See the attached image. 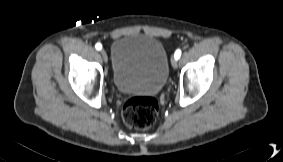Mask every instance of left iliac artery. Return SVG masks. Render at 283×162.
Segmentation results:
<instances>
[{
  "instance_id": "44dca946",
  "label": "left iliac artery",
  "mask_w": 283,
  "mask_h": 162,
  "mask_svg": "<svg viewBox=\"0 0 283 162\" xmlns=\"http://www.w3.org/2000/svg\"><path fill=\"white\" fill-rule=\"evenodd\" d=\"M180 56H181V50L180 49H177L176 51H175V54H174V57H175V59H179L180 58Z\"/></svg>"
}]
</instances>
